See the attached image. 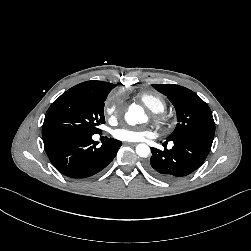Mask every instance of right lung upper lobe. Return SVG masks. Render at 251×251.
I'll return each mask as SVG.
<instances>
[{
    "mask_svg": "<svg viewBox=\"0 0 251 251\" xmlns=\"http://www.w3.org/2000/svg\"><path fill=\"white\" fill-rule=\"evenodd\" d=\"M116 87L115 84L103 82V81H86L80 83L71 89L90 91L96 94L108 95L109 92Z\"/></svg>",
    "mask_w": 251,
    "mask_h": 251,
    "instance_id": "cb5924a9",
    "label": "right lung upper lobe"
}]
</instances>
